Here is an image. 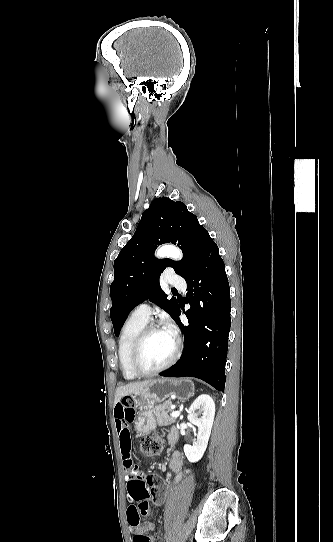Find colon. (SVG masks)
Segmentation results:
<instances>
[{
	"label": "colon",
	"instance_id": "obj_1",
	"mask_svg": "<svg viewBox=\"0 0 333 542\" xmlns=\"http://www.w3.org/2000/svg\"><path fill=\"white\" fill-rule=\"evenodd\" d=\"M163 441L156 436H147L143 438L139 443V449L141 454L150 458L159 454L163 449ZM137 460L135 458H128L125 461V470L128 475H131L133 479L139 478V469L137 467ZM162 483L160 476L156 474H149L146 481L140 479L131 482L129 489L125 492V501L127 503L126 508V522L128 524L138 525L142 522L145 516H149L152 512V509L149 505H140L142 500H146L149 497L150 488H157ZM142 540L145 539L142 537Z\"/></svg>",
	"mask_w": 333,
	"mask_h": 542
}]
</instances>
